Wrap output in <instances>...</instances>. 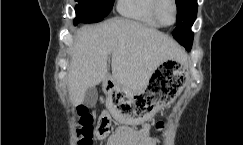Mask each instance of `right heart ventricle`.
<instances>
[{
    "instance_id": "obj_1",
    "label": "right heart ventricle",
    "mask_w": 243,
    "mask_h": 145,
    "mask_svg": "<svg viewBox=\"0 0 243 145\" xmlns=\"http://www.w3.org/2000/svg\"><path fill=\"white\" fill-rule=\"evenodd\" d=\"M153 0H118L119 13L127 18L141 22L147 26L160 28L152 11Z\"/></svg>"
}]
</instances>
